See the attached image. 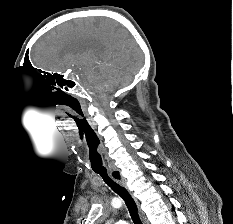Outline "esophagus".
<instances>
[{
  "mask_svg": "<svg viewBox=\"0 0 233 224\" xmlns=\"http://www.w3.org/2000/svg\"><path fill=\"white\" fill-rule=\"evenodd\" d=\"M110 176H111V178H112L113 180H115V181L118 182L121 186H123L126 190H128V187H127V185H126V181H125V179L123 178V176H122L120 170H117V169H116V170L110 171ZM132 197H133V196H132ZM133 199H134L136 205L139 207V202H138V200L135 199L134 197H133ZM142 217H143V222H144V224H149V222H148L146 216H145L143 213H142Z\"/></svg>",
  "mask_w": 233,
  "mask_h": 224,
  "instance_id": "34e87169",
  "label": "esophagus"
}]
</instances>
